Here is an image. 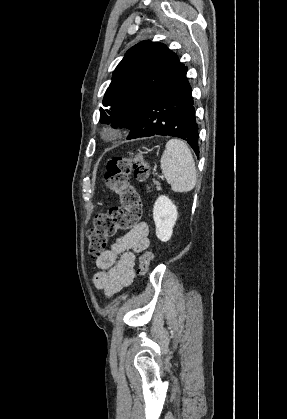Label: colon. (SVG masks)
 <instances>
[{
	"label": "colon",
	"instance_id": "1",
	"mask_svg": "<svg viewBox=\"0 0 287 419\" xmlns=\"http://www.w3.org/2000/svg\"><path fill=\"white\" fill-rule=\"evenodd\" d=\"M131 170L140 181H146L149 178V165L140 154L131 158L116 157L107 165L105 174L107 185L119 196L121 206L95 216L94 226L88 231L89 254L94 258H98L107 250L109 239L118 230L133 228L141 218V198L129 182ZM151 262L152 255L150 253L141 255L138 261L139 274L148 272Z\"/></svg>",
	"mask_w": 287,
	"mask_h": 419
}]
</instances>
